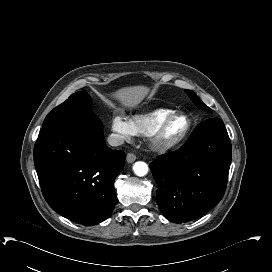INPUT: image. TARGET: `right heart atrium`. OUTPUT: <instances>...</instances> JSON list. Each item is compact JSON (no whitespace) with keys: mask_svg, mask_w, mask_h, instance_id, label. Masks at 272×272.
<instances>
[{"mask_svg":"<svg viewBox=\"0 0 272 272\" xmlns=\"http://www.w3.org/2000/svg\"><path fill=\"white\" fill-rule=\"evenodd\" d=\"M111 131L115 139L124 141L133 136L136 132L130 119L121 113H116L111 121Z\"/></svg>","mask_w":272,"mask_h":272,"instance_id":"d8ad5b80","label":"right heart atrium"}]
</instances>
